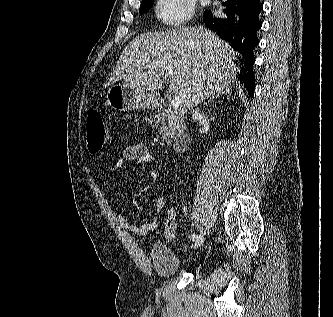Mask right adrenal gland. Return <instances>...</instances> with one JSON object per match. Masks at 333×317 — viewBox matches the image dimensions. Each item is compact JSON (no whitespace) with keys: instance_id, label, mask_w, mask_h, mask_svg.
I'll list each match as a JSON object with an SVG mask.
<instances>
[{"instance_id":"2a0ac1e0","label":"right adrenal gland","mask_w":333,"mask_h":317,"mask_svg":"<svg viewBox=\"0 0 333 317\" xmlns=\"http://www.w3.org/2000/svg\"><path fill=\"white\" fill-rule=\"evenodd\" d=\"M225 94L231 95V90H230V89H226L225 91H220V92H218V93L212 95V97H210V98L208 99V101H207L206 103H204V105H207V104L210 103L213 99L220 97V95H225Z\"/></svg>"}]
</instances>
